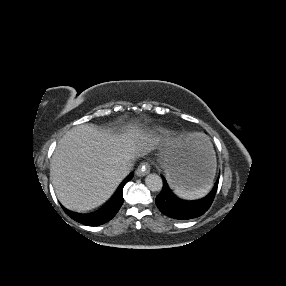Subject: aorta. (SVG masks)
Returning a JSON list of instances; mask_svg holds the SVG:
<instances>
[{
	"mask_svg": "<svg viewBox=\"0 0 286 286\" xmlns=\"http://www.w3.org/2000/svg\"><path fill=\"white\" fill-rule=\"evenodd\" d=\"M145 184L149 190L153 192H158L162 189L163 182L159 175L157 174H149L145 178Z\"/></svg>",
	"mask_w": 286,
	"mask_h": 286,
	"instance_id": "762f6f07",
	"label": "aorta"
}]
</instances>
